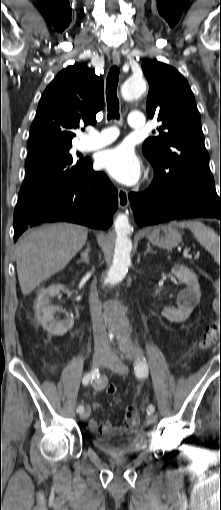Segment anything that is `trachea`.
<instances>
[{"label": "trachea", "mask_w": 221, "mask_h": 510, "mask_svg": "<svg viewBox=\"0 0 221 510\" xmlns=\"http://www.w3.org/2000/svg\"><path fill=\"white\" fill-rule=\"evenodd\" d=\"M119 81V69L113 66L106 79V101L108 120L119 119V100L117 98V86Z\"/></svg>", "instance_id": "obj_1"}]
</instances>
